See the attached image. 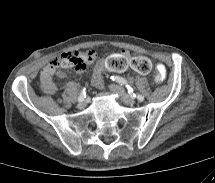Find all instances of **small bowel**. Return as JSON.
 I'll return each instance as SVG.
<instances>
[{"label": "small bowel", "mask_w": 215, "mask_h": 183, "mask_svg": "<svg viewBox=\"0 0 215 183\" xmlns=\"http://www.w3.org/2000/svg\"><path fill=\"white\" fill-rule=\"evenodd\" d=\"M90 56L89 63H93L97 57V52L93 49L87 51ZM58 58L54 59L49 65H47L40 73L39 86L41 90L47 95H53L57 92V87L52 78L54 75L58 77H64V73L55 68L54 64ZM84 68L79 69L82 72ZM126 69L133 75L145 76L152 69V60L146 54H130L122 50L120 52H108L102 59L96 63V73H102L105 75L112 72H123ZM94 83L97 86H101L102 82L100 78L95 77Z\"/></svg>", "instance_id": "obj_1"}]
</instances>
